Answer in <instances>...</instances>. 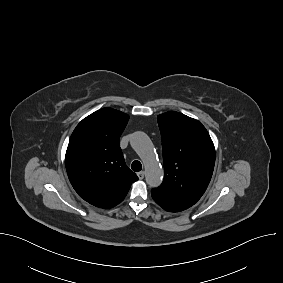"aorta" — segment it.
I'll return each instance as SVG.
<instances>
[{
  "label": "aorta",
  "mask_w": 283,
  "mask_h": 283,
  "mask_svg": "<svg viewBox=\"0 0 283 283\" xmlns=\"http://www.w3.org/2000/svg\"><path fill=\"white\" fill-rule=\"evenodd\" d=\"M131 146L140 155L145 165V179L150 187H158L163 180V169L159 165L150 138L143 132L133 133Z\"/></svg>",
  "instance_id": "aorta-1"
}]
</instances>
